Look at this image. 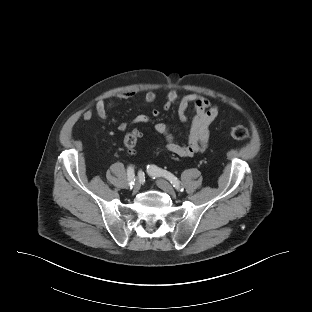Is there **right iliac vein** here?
I'll return each mask as SVG.
<instances>
[{"label":"right iliac vein","mask_w":312,"mask_h":312,"mask_svg":"<svg viewBox=\"0 0 312 312\" xmlns=\"http://www.w3.org/2000/svg\"><path fill=\"white\" fill-rule=\"evenodd\" d=\"M140 187H141L140 182L138 180H136L134 187H133V193H137L138 190L140 189Z\"/></svg>","instance_id":"obj_1"}]
</instances>
